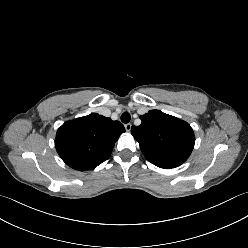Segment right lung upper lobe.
I'll return each instance as SVG.
<instances>
[{
	"label": "right lung upper lobe",
	"mask_w": 248,
	"mask_h": 248,
	"mask_svg": "<svg viewBox=\"0 0 248 248\" xmlns=\"http://www.w3.org/2000/svg\"><path fill=\"white\" fill-rule=\"evenodd\" d=\"M123 132L119 121L92 113L65 122L57 131L55 147L71 168L91 170L108 159Z\"/></svg>",
	"instance_id": "1"
}]
</instances>
